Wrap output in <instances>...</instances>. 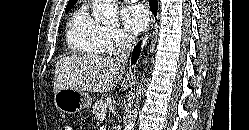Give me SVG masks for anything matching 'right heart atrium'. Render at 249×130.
I'll use <instances>...</instances> for the list:
<instances>
[{"label": "right heart atrium", "mask_w": 249, "mask_h": 130, "mask_svg": "<svg viewBox=\"0 0 249 130\" xmlns=\"http://www.w3.org/2000/svg\"><path fill=\"white\" fill-rule=\"evenodd\" d=\"M107 52L117 54L132 44V38L119 27H104Z\"/></svg>", "instance_id": "d8ad5b80"}]
</instances>
